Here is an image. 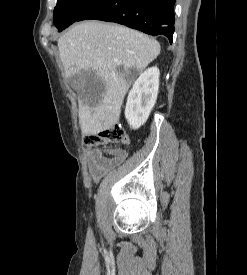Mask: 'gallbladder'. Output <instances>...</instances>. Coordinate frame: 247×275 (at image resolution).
Returning a JSON list of instances; mask_svg holds the SVG:
<instances>
[{"mask_svg": "<svg viewBox=\"0 0 247 275\" xmlns=\"http://www.w3.org/2000/svg\"><path fill=\"white\" fill-rule=\"evenodd\" d=\"M70 85L80 94L83 100H87L95 94L104 92L105 85L93 72L81 71L69 77Z\"/></svg>", "mask_w": 247, "mask_h": 275, "instance_id": "obj_1", "label": "gallbladder"}]
</instances>
